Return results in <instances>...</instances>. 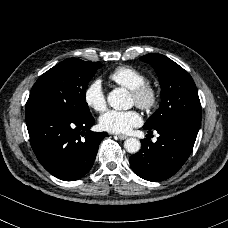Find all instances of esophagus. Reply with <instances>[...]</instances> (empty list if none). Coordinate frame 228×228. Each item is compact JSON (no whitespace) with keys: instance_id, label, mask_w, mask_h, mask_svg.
I'll return each mask as SVG.
<instances>
[{"instance_id":"esophagus-1","label":"esophagus","mask_w":228,"mask_h":228,"mask_svg":"<svg viewBox=\"0 0 228 228\" xmlns=\"http://www.w3.org/2000/svg\"><path fill=\"white\" fill-rule=\"evenodd\" d=\"M118 138L120 140H125L127 138V136L126 135H118Z\"/></svg>"}]
</instances>
